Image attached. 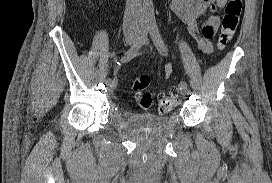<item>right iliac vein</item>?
<instances>
[{
    "label": "right iliac vein",
    "instance_id": "right-iliac-vein-1",
    "mask_svg": "<svg viewBox=\"0 0 272 183\" xmlns=\"http://www.w3.org/2000/svg\"><path fill=\"white\" fill-rule=\"evenodd\" d=\"M137 38H138V36H137L136 31L130 30V31L126 32L125 33V43H126V45L134 44L137 41ZM105 83L107 85V90L109 92H112L116 88V85H117L116 81L106 80Z\"/></svg>",
    "mask_w": 272,
    "mask_h": 183
}]
</instances>
